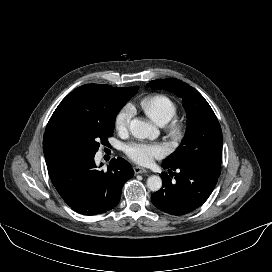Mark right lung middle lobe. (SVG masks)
I'll list each match as a JSON object with an SVG mask.
<instances>
[{
	"mask_svg": "<svg viewBox=\"0 0 272 272\" xmlns=\"http://www.w3.org/2000/svg\"><path fill=\"white\" fill-rule=\"evenodd\" d=\"M136 90H138V86ZM125 103L117 107L113 117L106 125L90 124L59 128L53 138L52 154L49 161L55 162L68 158L95 155L100 143L109 144L108 137L113 135L115 117Z\"/></svg>",
	"mask_w": 272,
	"mask_h": 272,
	"instance_id": "dd1d6c3e",
	"label": "right lung middle lobe"
}]
</instances>
